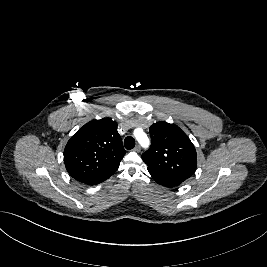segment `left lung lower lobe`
Returning <instances> with one entry per match:
<instances>
[{"instance_id":"0a47b994","label":"left lung lower lobe","mask_w":267,"mask_h":267,"mask_svg":"<svg viewBox=\"0 0 267 267\" xmlns=\"http://www.w3.org/2000/svg\"><path fill=\"white\" fill-rule=\"evenodd\" d=\"M149 173L158 184L163 186L174 187L180 185L183 182L182 180L161 176L152 172Z\"/></svg>"}]
</instances>
